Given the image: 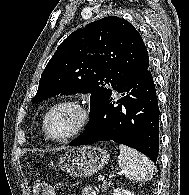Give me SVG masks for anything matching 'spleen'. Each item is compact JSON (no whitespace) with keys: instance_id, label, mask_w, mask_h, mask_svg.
Listing matches in <instances>:
<instances>
[{"instance_id":"obj_1","label":"spleen","mask_w":189,"mask_h":195,"mask_svg":"<svg viewBox=\"0 0 189 195\" xmlns=\"http://www.w3.org/2000/svg\"><path fill=\"white\" fill-rule=\"evenodd\" d=\"M119 150L118 165L126 178L136 182H146L152 179V164L146 156L124 145H120Z\"/></svg>"}]
</instances>
